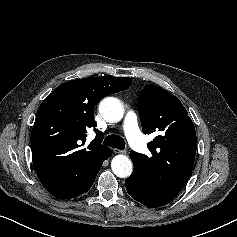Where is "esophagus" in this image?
<instances>
[{
    "mask_svg": "<svg viewBox=\"0 0 237 237\" xmlns=\"http://www.w3.org/2000/svg\"><path fill=\"white\" fill-rule=\"evenodd\" d=\"M114 152L118 153V154H126L127 153L126 150H119V149H114Z\"/></svg>",
    "mask_w": 237,
    "mask_h": 237,
    "instance_id": "1",
    "label": "esophagus"
}]
</instances>
